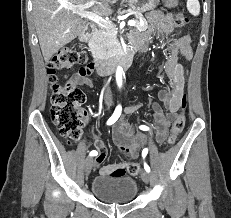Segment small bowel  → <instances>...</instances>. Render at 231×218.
Masks as SVG:
<instances>
[{
  "instance_id": "1",
  "label": "small bowel",
  "mask_w": 231,
  "mask_h": 218,
  "mask_svg": "<svg viewBox=\"0 0 231 218\" xmlns=\"http://www.w3.org/2000/svg\"><path fill=\"white\" fill-rule=\"evenodd\" d=\"M147 18L153 28L142 34L132 35L133 47L142 51L148 48L154 36L168 39L174 29V17L171 13L151 11L147 14ZM180 55L186 60H190L192 57L191 39L187 35L180 38L169 39L168 57L165 63L159 68L161 72L167 75L170 83V88L162 89L158 93V98L165 106L167 112H163L158 103L154 102L152 104L157 130L156 139L159 143H162L166 139L171 120L179 110L181 99L184 95L187 69L179 61ZM93 66V64L86 63L83 68L73 76V82L76 85L92 87L93 81L90 76L93 71ZM142 106V104L127 106L124 112L125 114H133ZM113 140L125 161L118 164H105L107 155L106 146L100 136L94 134V146L97 155L93 160L92 166L99 169L102 175L124 176L130 161L138 157L144 137L133 134L126 124L119 122L113 130Z\"/></svg>"
}]
</instances>
